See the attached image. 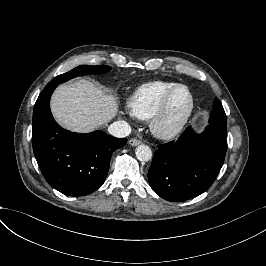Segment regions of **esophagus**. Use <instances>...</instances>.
Returning <instances> with one entry per match:
<instances>
[{"label": "esophagus", "instance_id": "34e87169", "mask_svg": "<svg viewBox=\"0 0 266 266\" xmlns=\"http://www.w3.org/2000/svg\"><path fill=\"white\" fill-rule=\"evenodd\" d=\"M140 143H141V141L138 140V139H136V138H132V139L129 140V144H130L131 146H137V145H139Z\"/></svg>", "mask_w": 266, "mask_h": 266}]
</instances>
